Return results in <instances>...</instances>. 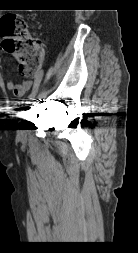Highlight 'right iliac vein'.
<instances>
[{
    "label": "right iliac vein",
    "mask_w": 138,
    "mask_h": 253,
    "mask_svg": "<svg viewBox=\"0 0 138 253\" xmlns=\"http://www.w3.org/2000/svg\"><path fill=\"white\" fill-rule=\"evenodd\" d=\"M37 93H38V90L33 95H31L30 98H29V102H28L27 107H26V110H27L26 118H29V114L34 110L35 103H36V98L35 97H36ZM19 138L20 139L25 138V135H24L23 132L19 133Z\"/></svg>",
    "instance_id": "63e3f726"
}]
</instances>
